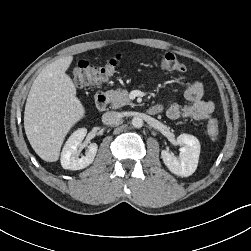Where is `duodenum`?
I'll return each mask as SVG.
<instances>
[{"label": "duodenum", "instance_id": "410a0bca", "mask_svg": "<svg viewBox=\"0 0 251 251\" xmlns=\"http://www.w3.org/2000/svg\"><path fill=\"white\" fill-rule=\"evenodd\" d=\"M95 103L99 110L103 111L107 108L108 105V96L106 92L99 91L95 96ZM147 112L150 115H156L161 112V107L159 105H152L148 108Z\"/></svg>", "mask_w": 251, "mask_h": 251}]
</instances>
